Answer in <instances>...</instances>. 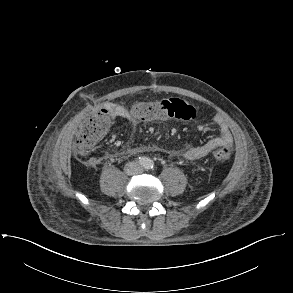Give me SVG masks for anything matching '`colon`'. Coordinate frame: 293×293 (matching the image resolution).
I'll list each match as a JSON object with an SVG mask.
<instances>
[{
	"instance_id": "1",
	"label": "colon",
	"mask_w": 293,
	"mask_h": 293,
	"mask_svg": "<svg viewBox=\"0 0 293 293\" xmlns=\"http://www.w3.org/2000/svg\"><path fill=\"white\" fill-rule=\"evenodd\" d=\"M132 116L141 121H159L165 118L183 120L193 119L196 110L180 98H169L156 102H137L131 109ZM112 123V115L107 109L90 114L80 125L74 150L78 157L84 158L90 149L104 136ZM211 156L215 161H226L230 157L227 146L214 144Z\"/></svg>"
}]
</instances>
